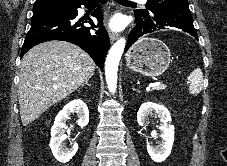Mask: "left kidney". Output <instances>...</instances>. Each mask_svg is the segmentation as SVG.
<instances>
[{
    "instance_id": "1",
    "label": "left kidney",
    "mask_w": 227,
    "mask_h": 166,
    "mask_svg": "<svg viewBox=\"0 0 227 166\" xmlns=\"http://www.w3.org/2000/svg\"><path fill=\"white\" fill-rule=\"evenodd\" d=\"M154 113L161 121V143L153 147L147 143V151L150 157L155 162H163L170 155L174 142V126L171 125V114L163 105L146 102L141 105L137 113L138 124L144 126L149 122V116Z\"/></svg>"
}]
</instances>
